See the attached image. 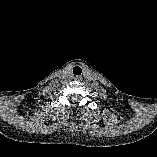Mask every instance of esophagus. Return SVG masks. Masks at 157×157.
<instances>
[{"instance_id": "1", "label": "esophagus", "mask_w": 157, "mask_h": 157, "mask_svg": "<svg viewBox=\"0 0 157 157\" xmlns=\"http://www.w3.org/2000/svg\"><path fill=\"white\" fill-rule=\"evenodd\" d=\"M82 78H81V76H79V75H76L75 77H74V80H76V81H80Z\"/></svg>"}]
</instances>
